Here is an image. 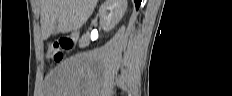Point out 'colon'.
Masks as SVG:
<instances>
[{
  "instance_id": "colon-1",
  "label": "colon",
  "mask_w": 232,
  "mask_h": 96,
  "mask_svg": "<svg viewBox=\"0 0 232 96\" xmlns=\"http://www.w3.org/2000/svg\"><path fill=\"white\" fill-rule=\"evenodd\" d=\"M72 42L68 39H62L53 42L48 47V56L56 62L64 59L65 53L71 48Z\"/></svg>"
}]
</instances>
